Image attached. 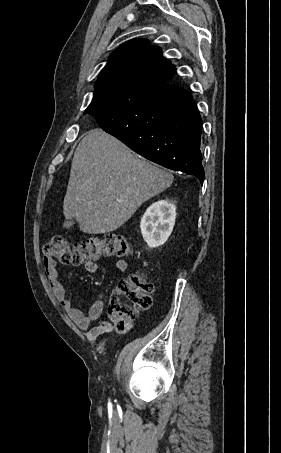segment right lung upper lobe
I'll return each mask as SVG.
<instances>
[{
    "instance_id": "right-lung-upper-lobe-1",
    "label": "right lung upper lobe",
    "mask_w": 281,
    "mask_h": 453,
    "mask_svg": "<svg viewBox=\"0 0 281 453\" xmlns=\"http://www.w3.org/2000/svg\"><path fill=\"white\" fill-rule=\"evenodd\" d=\"M175 66L161 55V49L146 39L127 41L109 57L96 82L91 104L112 105L130 99L173 80Z\"/></svg>"
}]
</instances>
